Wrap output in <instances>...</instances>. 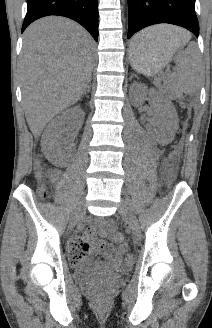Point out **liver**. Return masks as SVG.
Listing matches in <instances>:
<instances>
[{
    "label": "liver",
    "mask_w": 212,
    "mask_h": 328,
    "mask_svg": "<svg viewBox=\"0 0 212 328\" xmlns=\"http://www.w3.org/2000/svg\"><path fill=\"white\" fill-rule=\"evenodd\" d=\"M167 26V25H165ZM186 42L190 35L168 26ZM95 43L78 23L44 17L24 32L20 78L25 116L34 137L56 114L75 104L91 79Z\"/></svg>",
    "instance_id": "6515ba94"
}]
</instances>
